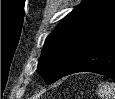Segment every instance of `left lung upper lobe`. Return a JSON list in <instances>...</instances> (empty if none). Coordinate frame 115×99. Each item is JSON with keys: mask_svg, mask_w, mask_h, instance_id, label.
Masks as SVG:
<instances>
[{"mask_svg": "<svg viewBox=\"0 0 115 99\" xmlns=\"http://www.w3.org/2000/svg\"><path fill=\"white\" fill-rule=\"evenodd\" d=\"M115 28V0H85L46 38L38 72L57 81L93 43Z\"/></svg>", "mask_w": 115, "mask_h": 99, "instance_id": "5c2ea615", "label": "left lung upper lobe"}]
</instances>
